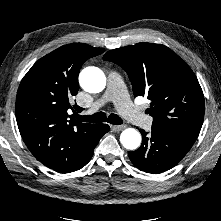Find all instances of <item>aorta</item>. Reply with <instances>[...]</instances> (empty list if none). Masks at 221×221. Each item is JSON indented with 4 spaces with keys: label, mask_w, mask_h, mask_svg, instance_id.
<instances>
[{
    "label": "aorta",
    "mask_w": 221,
    "mask_h": 221,
    "mask_svg": "<svg viewBox=\"0 0 221 221\" xmlns=\"http://www.w3.org/2000/svg\"><path fill=\"white\" fill-rule=\"evenodd\" d=\"M79 83L86 92L100 93L106 86V77L101 69L90 66L80 72ZM120 142L124 148L135 150L140 146L141 135L136 129L127 128L121 133Z\"/></svg>",
    "instance_id": "1"
}]
</instances>
